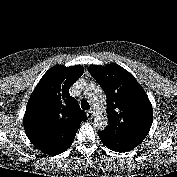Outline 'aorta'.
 <instances>
[{"label":"aorta","instance_id":"aorta-1","mask_svg":"<svg viewBox=\"0 0 177 177\" xmlns=\"http://www.w3.org/2000/svg\"><path fill=\"white\" fill-rule=\"evenodd\" d=\"M89 100L96 109L100 110V112H103V110H105V106H106L105 96L99 89H97L94 86H92L91 92L89 93ZM106 124H107V119L106 117L103 116H102V121L97 122V125L100 127L105 126Z\"/></svg>","mask_w":177,"mask_h":177}]
</instances>
